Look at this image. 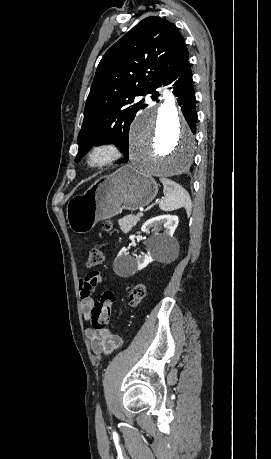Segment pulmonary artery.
<instances>
[{
  "instance_id": "obj_1",
  "label": "pulmonary artery",
  "mask_w": 271,
  "mask_h": 459,
  "mask_svg": "<svg viewBox=\"0 0 271 459\" xmlns=\"http://www.w3.org/2000/svg\"><path fill=\"white\" fill-rule=\"evenodd\" d=\"M142 104L144 106H151L153 104V99L151 97H144L142 99Z\"/></svg>"
}]
</instances>
